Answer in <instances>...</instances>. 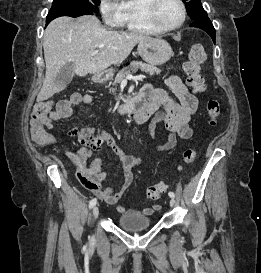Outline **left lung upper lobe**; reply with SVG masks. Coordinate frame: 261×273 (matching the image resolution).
Instances as JSON below:
<instances>
[{
  "label": "left lung upper lobe",
  "instance_id": "1",
  "mask_svg": "<svg viewBox=\"0 0 261 273\" xmlns=\"http://www.w3.org/2000/svg\"><path fill=\"white\" fill-rule=\"evenodd\" d=\"M182 1L185 3L187 13L192 20H196L204 15H207V12L203 9L201 5V0H182Z\"/></svg>",
  "mask_w": 261,
  "mask_h": 273
}]
</instances>
